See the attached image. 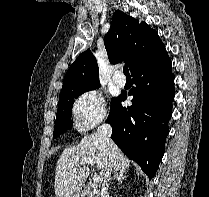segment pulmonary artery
I'll return each instance as SVG.
<instances>
[{
    "mask_svg": "<svg viewBox=\"0 0 209 197\" xmlns=\"http://www.w3.org/2000/svg\"><path fill=\"white\" fill-rule=\"evenodd\" d=\"M113 82L118 87H124V85L126 84V79L120 75H115L113 77Z\"/></svg>",
    "mask_w": 209,
    "mask_h": 197,
    "instance_id": "obj_1",
    "label": "pulmonary artery"
}]
</instances>
